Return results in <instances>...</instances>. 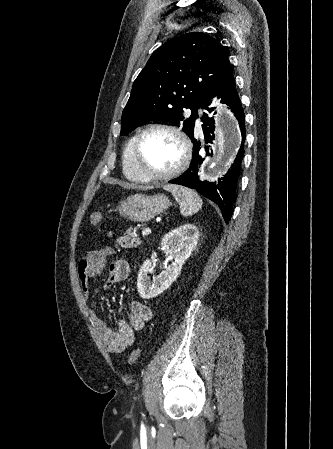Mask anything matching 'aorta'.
Instances as JSON below:
<instances>
[{"label": "aorta", "instance_id": "1", "mask_svg": "<svg viewBox=\"0 0 333 449\" xmlns=\"http://www.w3.org/2000/svg\"><path fill=\"white\" fill-rule=\"evenodd\" d=\"M221 113L224 122H220L216 130V154L205 164L206 172L208 173H214V171L223 167L233 155L240 142L239 130L227 108L225 107Z\"/></svg>", "mask_w": 333, "mask_h": 449}]
</instances>
